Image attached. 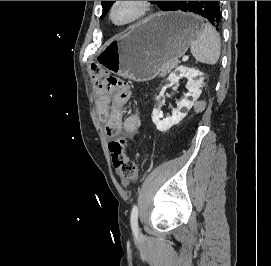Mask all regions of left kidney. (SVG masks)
Segmentation results:
<instances>
[{
  "mask_svg": "<svg viewBox=\"0 0 271 266\" xmlns=\"http://www.w3.org/2000/svg\"><path fill=\"white\" fill-rule=\"evenodd\" d=\"M185 77L188 79L186 88L188 94L184 99L177 103V108L173 110L172 115L163 118V113L160 107H155L152 112V121L156 125L157 130L161 132H166L173 125L178 124L186 115L187 112L192 108L194 102L199 98L201 94V88L203 85V78L201 77V72L199 70L187 67H179L174 72L168 76L169 84L168 86H173L178 84L180 78ZM164 89L161 90L157 100L164 95ZM191 97L192 100H189ZM163 118V119H161Z\"/></svg>",
  "mask_w": 271,
  "mask_h": 266,
  "instance_id": "obj_1",
  "label": "left kidney"
}]
</instances>
